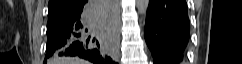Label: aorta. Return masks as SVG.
Instances as JSON below:
<instances>
[{"instance_id": "1", "label": "aorta", "mask_w": 242, "mask_h": 64, "mask_svg": "<svg viewBox=\"0 0 242 64\" xmlns=\"http://www.w3.org/2000/svg\"><path fill=\"white\" fill-rule=\"evenodd\" d=\"M149 6V0H137L136 7L140 14L144 15L147 12Z\"/></svg>"}]
</instances>
